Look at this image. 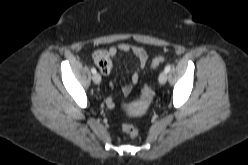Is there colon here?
Returning a JSON list of instances; mask_svg holds the SVG:
<instances>
[{"label":"colon","mask_w":248,"mask_h":165,"mask_svg":"<svg viewBox=\"0 0 248 165\" xmlns=\"http://www.w3.org/2000/svg\"><path fill=\"white\" fill-rule=\"evenodd\" d=\"M95 65L100 69H106L109 66L110 58L105 51H98L93 55ZM164 62L163 56H156L153 58L151 62V67L156 68ZM153 87L151 84L146 83L142 88L141 98L142 101L145 103L151 102L153 98ZM122 130L125 132L129 137L135 138L138 135V129L135 125L130 123H125L122 125Z\"/></svg>","instance_id":"obj_1"}]
</instances>
